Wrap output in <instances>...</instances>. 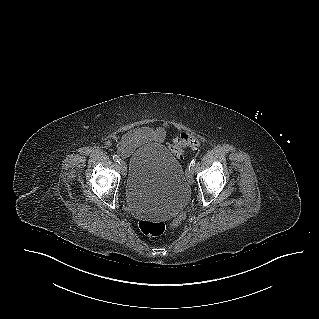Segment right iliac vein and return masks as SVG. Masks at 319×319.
Wrapping results in <instances>:
<instances>
[{"mask_svg":"<svg viewBox=\"0 0 319 319\" xmlns=\"http://www.w3.org/2000/svg\"><path fill=\"white\" fill-rule=\"evenodd\" d=\"M119 166H120L122 174L125 175L126 174V169H127L125 162L121 161Z\"/></svg>","mask_w":319,"mask_h":319,"instance_id":"obj_1","label":"right iliac vein"}]
</instances>
